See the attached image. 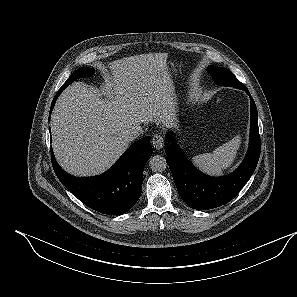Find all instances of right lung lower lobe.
I'll use <instances>...</instances> for the list:
<instances>
[{"mask_svg": "<svg viewBox=\"0 0 297 297\" xmlns=\"http://www.w3.org/2000/svg\"><path fill=\"white\" fill-rule=\"evenodd\" d=\"M64 89L58 90L50 112ZM152 153L149 136H146L132 144L111 169L89 178L74 177L62 170L52 150L51 161L60 182L82 203L103 214L121 215L138 201L142 192L143 169Z\"/></svg>", "mask_w": 297, "mask_h": 297, "instance_id": "98d812e1", "label": "right lung lower lobe"}]
</instances>
